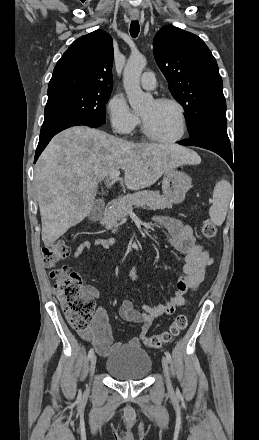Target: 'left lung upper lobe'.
Returning <instances> with one entry per match:
<instances>
[{"label":"left lung upper lobe","instance_id":"5c2ea615","mask_svg":"<svg viewBox=\"0 0 259 440\" xmlns=\"http://www.w3.org/2000/svg\"><path fill=\"white\" fill-rule=\"evenodd\" d=\"M153 50L171 94L186 112L190 134L209 122L227 123L218 65L201 38L164 26L154 37Z\"/></svg>","mask_w":259,"mask_h":440}]
</instances>
